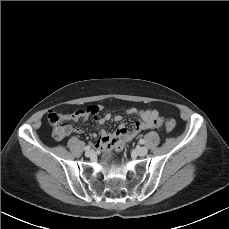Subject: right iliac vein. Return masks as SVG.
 <instances>
[{
	"instance_id": "right-iliac-vein-1",
	"label": "right iliac vein",
	"mask_w": 229,
	"mask_h": 229,
	"mask_svg": "<svg viewBox=\"0 0 229 229\" xmlns=\"http://www.w3.org/2000/svg\"><path fill=\"white\" fill-rule=\"evenodd\" d=\"M85 155L87 157H92L94 155V151L93 150H88V151H86Z\"/></svg>"
}]
</instances>
